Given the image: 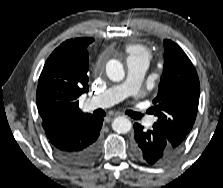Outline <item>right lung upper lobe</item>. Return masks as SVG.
<instances>
[{
	"mask_svg": "<svg viewBox=\"0 0 223 188\" xmlns=\"http://www.w3.org/2000/svg\"><path fill=\"white\" fill-rule=\"evenodd\" d=\"M93 38L69 39L47 59L38 80L36 101L45 131L80 123L91 114L79 109L88 92V51Z\"/></svg>",
	"mask_w": 223,
	"mask_h": 188,
	"instance_id": "cb5924a9",
	"label": "right lung upper lobe"
}]
</instances>
